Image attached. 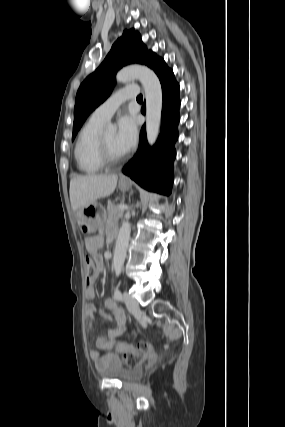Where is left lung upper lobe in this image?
<instances>
[{"instance_id": "1", "label": "left lung upper lobe", "mask_w": 285, "mask_h": 427, "mask_svg": "<svg viewBox=\"0 0 285 427\" xmlns=\"http://www.w3.org/2000/svg\"><path fill=\"white\" fill-rule=\"evenodd\" d=\"M160 60L148 51L134 29L125 30L112 46L101 65L90 74L78 89L74 108L72 140L87 116L111 93L115 84L116 72L125 65L139 63L151 69Z\"/></svg>"}]
</instances>
